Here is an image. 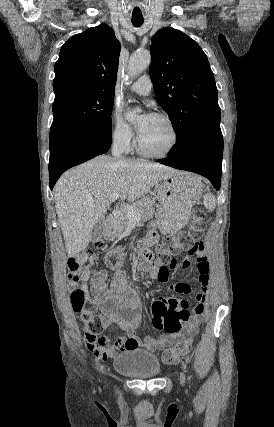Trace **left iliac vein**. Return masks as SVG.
I'll return each instance as SVG.
<instances>
[{"mask_svg": "<svg viewBox=\"0 0 274 427\" xmlns=\"http://www.w3.org/2000/svg\"><path fill=\"white\" fill-rule=\"evenodd\" d=\"M179 380H180V383H181L182 385H184V384H185V377H184V374H183V373H180V374H179Z\"/></svg>", "mask_w": 274, "mask_h": 427, "instance_id": "4c4485c4", "label": "left iliac vein"}]
</instances>
